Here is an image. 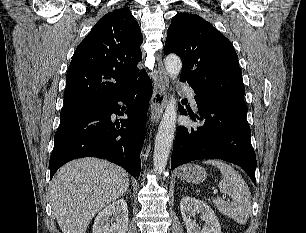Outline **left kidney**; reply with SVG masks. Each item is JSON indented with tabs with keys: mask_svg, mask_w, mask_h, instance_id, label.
<instances>
[{
	"mask_svg": "<svg viewBox=\"0 0 306 233\" xmlns=\"http://www.w3.org/2000/svg\"><path fill=\"white\" fill-rule=\"evenodd\" d=\"M181 216L186 224L187 233H221V227L214 211L208 204L193 197H183L180 201ZM201 214L206 226L200 230L192 217Z\"/></svg>",
	"mask_w": 306,
	"mask_h": 233,
	"instance_id": "1",
	"label": "left kidney"
}]
</instances>
